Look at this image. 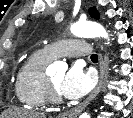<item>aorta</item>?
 Wrapping results in <instances>:
<instances>
[{"instance_id":"762f6f07","label":"aorta","mask_w":133,"mask_h":118,"mask_svg":"<svg viewBox=\"0 0 133 118\" xmlns=\"http://www.w3.org/2000/svg\"><path fill=\"white\" fill-rule=\"evenodd\" d=\"M71 33L76 37L108 39V33L104 27L95 22L76 23L71 26ZM66 69L67 65L62 62H54L48 68L51 73L65 71ZM79 118H91V116L88 112H84Z\"/></svg>"}]
</instances>
